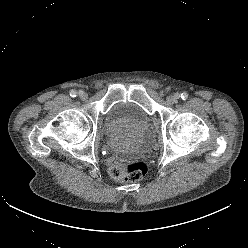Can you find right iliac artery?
Here are the masks:
<instances>
[{"mask_svg":"<svg viewBox=\"0 0 248 248\" xmlns=\"http://www.w3.org/2000/svg\"><path fill=\"white\" fill-rule=\"evenodd\" d=\"M70 96L73 97V98L76 97L77 96V92L75 90H71Z\"/></svg>","mask_w":248,"mask_h":248,"instance_id":"82829eb1","label":"right iliac artery"}]
</instances>
